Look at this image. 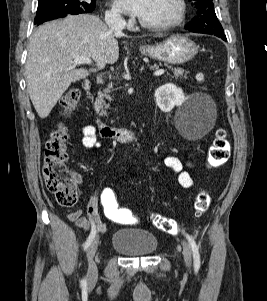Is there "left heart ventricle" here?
Segmentation results:
<instances>
[{"mask_svg":"<svg viewBox=\"0 0 267 301\" xmlns=\"http://www.w3.org/2000/svg\"><path fill=\"white\" fill-rule=\"evenodd\" d=\"M178 12L176 0H147L140 18L150 23H165Z\"/></svg>","mask_w":267,"mask_h":301,"instance_id":"left-heart-ventricle-1","label":"left heart ventricle"}]
</instances>
